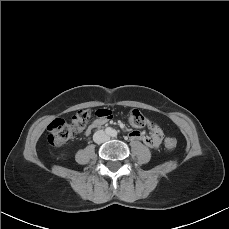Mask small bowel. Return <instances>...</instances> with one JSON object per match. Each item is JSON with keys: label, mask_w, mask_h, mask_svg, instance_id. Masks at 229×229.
Returning a JSON list of instances; mask_svg holds the SVG:
<instances>
[{"label": "small bowel", "mask_w": 229, "mask_h": 229, "mask_svg": "<svg viewBox=\"0 0 229 229\" xmlns=\"http://www.w3.org/2000/svg\"><path fill=\"white\" fill-rule=\"evenodd\" d=\"M106 121L107 118L98 117L96 120L92 122L90 128L86 131V133H89L90 130L93 128H97L100 123L104 124ZM148 127L151 132L150 135H145L143 132L140 131H133L129 134V137L134 140L142 141L148 147L158 148L162 142L161 129L156 123L152 121H149Z\"/></svg>", "instance_id": "small-bowel-1"}]
</instances>
